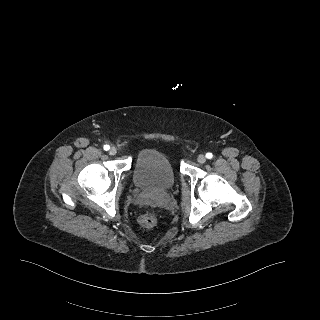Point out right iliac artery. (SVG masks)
Returning a JSON list of instances; mask_svg holds the SVG:
<instances>
[{
    "mask_svg": "<svg viewBox=\"0 0 320 320\" xmlns=\"http://www.w3.org/2000/svg\"><path fill=\"white\" fill-rule=\"evenodd\" d=\"M103 148H104L105 151H108L110 149V146L109 145H104Z\"/></svg>",
    "mask_w": 320,
    "mask_h": 320,
    "instance_id": "right-iliac-artery-1",
    "label": "right iliac artery"
}]
</instances>
